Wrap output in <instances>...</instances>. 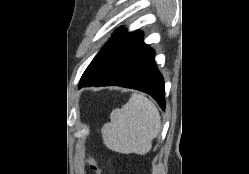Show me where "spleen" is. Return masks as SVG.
Listing matches in <instances>:
<instances>
[{"label":"spleen","instance_id":"3e777b00","mask_svg":"<svg viewBox=\"0 0 249 174\" xmlns=\"http://www.w3.org/2000/svg\"><path fill=\"white\" fill-rule=\"evenodd\" d=\"M111 121L102 127L103 142L112 151L145 155L161 128V117L154 103L133 93L121 109H114Z\"/></svg>","mask_w":249,"mask_h":174}]
</instances>
